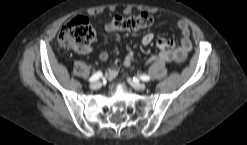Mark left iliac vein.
I'll use <instances>...</instances> for the list:
<instances>
[{"mask_svg":"<svg viewBox=\"0 0 247 145\" xmlns=\"http://www.w3.org/2000/svg\"><path fill=\"white\" fill-rule=\"evenodd\" d=\"M128 83L133 87L135 88L136 90H145L147 88L146 84L145 83H141V82H138V81H134L132 80L131 78H128L127 79Z\"/></svg>","mask_w":247,"mask_h":145,"instance_id":"left-iliac-vein-1","label":"left iliac vein"}]
</instances>
